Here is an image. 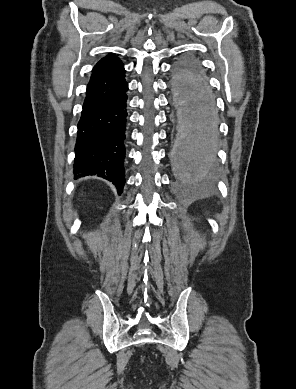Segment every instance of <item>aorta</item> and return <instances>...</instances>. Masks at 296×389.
Here are the masks:
<instances>
[{
	"label": "aorta",
	"mask_w": 296,
	"mask_h": 389,
	"mask_svg": "<svg viewBox=\"0 0 296 389\" xmlns=\"http://www.w3.org/2000/svg\"><path fill=\"white\" fill-rule=\"evenodd\" d=\"M173 87L178 134L170 146L172 167H178L182 183H199L217 161L215 92L209 81H202L201 72L173 70Z\"/></svg>",
	"instance_id": "obj_1"
}]
</instances>
